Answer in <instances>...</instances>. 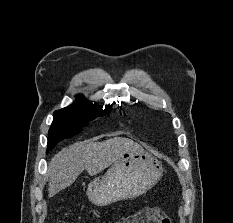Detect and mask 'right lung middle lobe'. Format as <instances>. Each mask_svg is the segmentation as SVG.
<instances>
[{"label":"right lung middle lobe","mask_w":233,"mask_h":223,"mask_svg":"<svg viewBox=\"0 0 233 223\" xmlns=\"http://www.w3.org/2000/svg\"><path fill=\"white\" fill-rule=\"evenodd\" d=\"M111 106L104 110L99 105L73 104L54 112V120L49 130L48 151L68 137L74 136L83 130L91 120L97 116H105Z\"/></svg>","instance_id":"dd1d6c3e"}]
</instances>
